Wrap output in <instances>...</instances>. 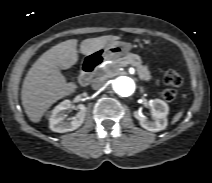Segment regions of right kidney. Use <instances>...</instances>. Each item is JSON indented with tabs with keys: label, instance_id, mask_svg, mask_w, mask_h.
<instances>
[{
	"label": "right kidney",
	"instance_id": "right-kidney-1",
	"mask_svg": "<svg viewBox=\"0 0 212 183\" xmlns=\"http://www.w3.org/2000/svg\"><path fill=\"white\" fill-rule=\"evenodd\" d=\"M71 108V101L64 100L58 104L50 113L49 128L58 133H65L79 128L86 116V107L82 105L75 117L65 120L66 111Z\"/></svg>",
	"mask_w": 212,
	"mask_h": 183
}]
</instances>
